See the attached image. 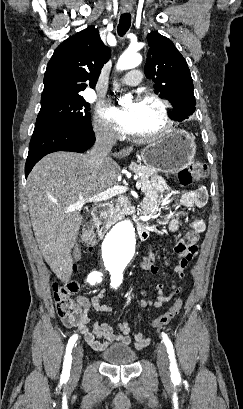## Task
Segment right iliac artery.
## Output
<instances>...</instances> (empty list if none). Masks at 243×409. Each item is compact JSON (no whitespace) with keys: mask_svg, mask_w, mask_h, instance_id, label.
Segmentation results:
<instances>
[{"mask_svg":"<svg viewBox=\"0 0 243 409\" xmlns=\"http://www.w3.org/2000/svg\"><path fill=\"white\" fill-rule=\"evenodd\" d=\"M102 280V273L98 271H93L88 275L87 282H89L91 285H94L96 282H101ZM78 336L73 335L67 344L66 347V354H65V359H64V364H63V371L61 375V379L63 381H67L70 375V367H71V361H72V356H71V351L72 348L77 340Z\"/></svg>","mask_w":243,"mask_h":409,"instance_id":"obj_1","label":"right iliac artery"}]
</instances>
